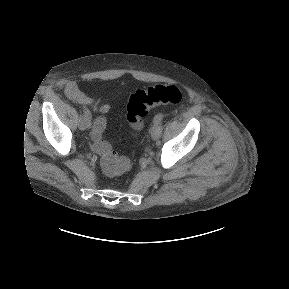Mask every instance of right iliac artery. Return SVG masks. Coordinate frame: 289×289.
Returning <instances> with one entry per match:
<instances>
[{
    "mask_svg": "<svg viewBox=\"0 0 289 289\" xmlns=\"http://www.w3.org/2000/svg\"><path fill=\"white\" fill-rule=\"evenodd\" d=\"M83 112H84V117H86L87 119H91V113L88 109L85 108Z\"/></svg>",
    "mask_w": 289,
    "mask_h": 289,
    "instance_id": "1",
    "label": "right iliac artery"
}]
</instances>
